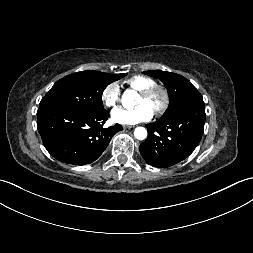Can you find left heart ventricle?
Wrapping results in <instances>:
<instances>
[{"instance_id":"b2bd125f","label":"left heart ventricle","mask_w":253,"mask_h":253,"mask_svg":"<svg viewBox=\"0 0 253 253\" xmlns=\"http://www.w3.org/2000/svg\"><path fill=\"white\" fill-rule=\"evenodd\" d=\"M160 102V96H156L153 100L148 101L141 95L138 96L136 104H146L148 105L152 110H154L155 105H157Z\"/></svg>"}]
</instances>
